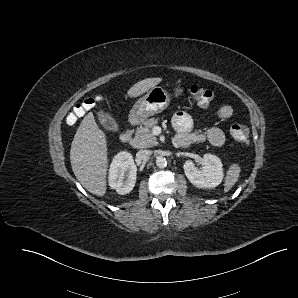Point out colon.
I'll use <instances>...</instances> for the list:
<instances>
[{
    "label": "colon",
    "mask_w": 298,
    "mask_h": 298,
    "mask_svg": "<svg viewBox=\"0 0 298 298\" xmlns=\"http://www.w3.org/2000/svg\"><path fill=\"white\" fill-rule=\"evenodd\" d=\"M189 93L192 99L199 106H208L214 97L213 92L203 86L193 84L189 87ZM100 103V98H89L77 105L68 115L69 123H75L78 119L95 109ZM231 136L239 143H247L250 137V130L246 124L237 123L232 125Z\"/></svg>",
    "instance_id": "5ec220e1"
}]
</instances>
